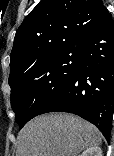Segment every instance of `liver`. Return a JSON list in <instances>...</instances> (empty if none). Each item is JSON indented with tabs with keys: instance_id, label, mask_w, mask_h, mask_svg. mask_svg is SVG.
Returning <instances> with one entry per match:
<instances>
[{
	"instance_id": "obj_1",
	"label": "liver",
	"mask_w": 114,
	"mask_h": 156,
	"mask_svg": "<svg viewBox=\"0 0 114 156\" xmlns=\"http://www.w3.org/2000/svg\"><path fill=\"white\" fill-rule=\"evenodd\" d=\"M102 134L91 123L72 114L35 117L19 132L16 156H78L98 147Z\"/></svg>"
}]
</instances>
